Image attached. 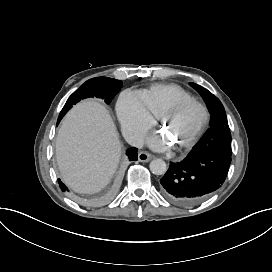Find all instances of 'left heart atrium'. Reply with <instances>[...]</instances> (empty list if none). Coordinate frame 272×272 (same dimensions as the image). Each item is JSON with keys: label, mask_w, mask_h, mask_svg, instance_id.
<instances>
[{"label": "left heart atrium", "mask_w": 272, "mask_h": 272, "mask_svg": "<svg viewBox=\"0 0 272 272\" xmlns=\"http://www.w3.org/2000/svg\"><path fill=\"white\" fill-rule=\"evenodd\" d=\"M150 145L157 150H163L167 146V140L164 137L153 135L150 138Z\"/></svg>", "instance_id": "1"}]
</instances>
